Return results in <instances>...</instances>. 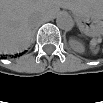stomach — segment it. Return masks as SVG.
Wrapping results in <instances>:
<instances>
[{
    "mask_svg": "<svg viewBox=\"0 0 103 103\" xmlns=\"http://www.w3.org/2000/svg\"><path fill=\"white\" fill-rule=\"evenodd\" d=\"M99 0L74 1L72 13L83 33L99 36L102 32L103 5Z\"/></svg>",
    "mask_w": 103,
    "mask_h": 103,
    "instance_id": "0dacf381",
    "label": "stomach"
}]
</instances>
